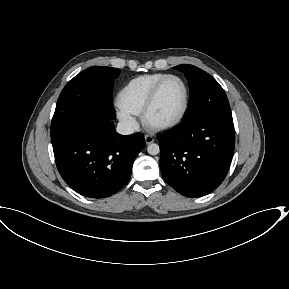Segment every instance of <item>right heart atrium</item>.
Listing matches in <instances>:
<instances>
[{"mask_svg":"<svg viewBox=\"0 0 289 289\" xmlns=\"http://www.w3.org/2000/svg\"><path fill=\"white\" fill-rule=\"evenodd\" d=\"M116 113L118 118L128 127L134 128L137 125L134 115L123 109L121 106H118Z\"/></svg>","mask_w":289,"mask_h":289,"instance_id":"1","label":"right heart atrium"}]
</instances>
